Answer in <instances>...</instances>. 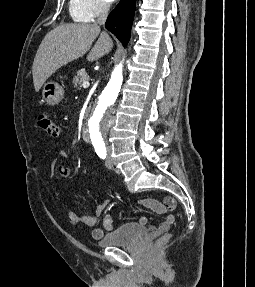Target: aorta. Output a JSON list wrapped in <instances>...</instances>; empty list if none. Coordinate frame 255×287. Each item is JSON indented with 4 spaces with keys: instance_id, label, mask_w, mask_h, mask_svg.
I'll list each match as a JSON object with an SVG mask.
<instances>
[{
    "instance_id": "762f6f07",
    "label": "aorta",
    "mask_w": 255,
    "mask_h": 287,
    "mask_svg": "<svg viewBox=\"0 0 255 287\" xmlns=\"http://www.w3.org/2000/svg\"><path fill=\"white\" fill-rule=\"evenodd\" d=\"M122 80V65L119 64L114 68L111 78L101 93L98 104L88 121L89 138L94 146H101L104 143L107 112L118 96Z\"/></svg>"
}]
</instances>
